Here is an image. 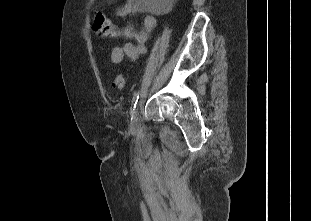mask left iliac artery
<instances>
[{
    "instance_id": "left-iliac-artery-1",
    "label": "left iliac artery",
    "mask_w": 311,
    "mask_h": 221,
    "mask_svg": "<svg viewBox=\"0 0 311 221\" xmlns=\"http://www.w3.org/2000/svg\"><path fill=\"white\" fill-rule=\"evenodd\" d=\"M139 96H140V91L139 90L134 92L133 98H132V101H131V115H133V113H134V110L136 108Z\"/></svg>"
}]
</instances>
